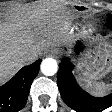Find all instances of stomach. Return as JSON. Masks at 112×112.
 Wrapping results in <instances>:
<instances>
[{
	"mask_svg": "<svg viewBox=\"0 0 112 112\" xmlns=\"http://www.w3.org/2000/svg\"><path fill=\"white\" fill-rule=\"evenodd\" d=\"M86 7L82 4L71 5L73 12L82 13ZM112 69V51L107 45L99 46L84 61L81 73L87 83L101 79Z\"/></svg>",
	"mask_w": 112,
	"mask_h": 112,
	"instance_id": "stomach-1",
	"label": "stomach"
}]
</instances>
